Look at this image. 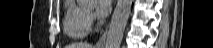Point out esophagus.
I'll return each mask as SVG.
<instances>
[{
  "label": "esophagus",
  "mask_w": 213,
  "mask_h": 48,
  "mask_svg": "<svg viewBox=\"0 0 213 48\" xmlns=\"http://www.w3.org/2000/svg\"><path fill=\"white\" fill-rule=\"evenodd\" d=\"M106 35H107V31L104 32V34L101 36L98 43L96 44L97 48H103L104 47Z\"/></svg>",
  "instance_id": "34e87169"
}]
</instances>
